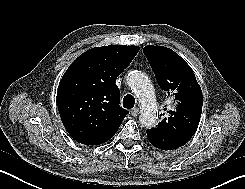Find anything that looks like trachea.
<instances>
[{"instance_id":"trachea-1","label":"trachea","mask_w":245,"mask_h":189,"mask_svg":"<svg viewBox=\"0 0 245 189\" xmlns=\"http://www.w3.org/2000/svg\"><path fill=\"white\" fill-rule=\"evenodd\" d=\"M135 105V98L131 94H127L123 98V107L127 109H132Z\"/></svg>"}]
</instances>
